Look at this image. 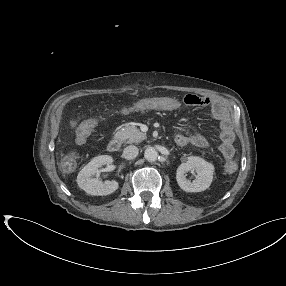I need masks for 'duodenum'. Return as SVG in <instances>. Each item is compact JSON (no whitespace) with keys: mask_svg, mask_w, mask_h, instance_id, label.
<instances>
[{"mask_svg":"<svg viewBox=\"0 0 286 286\" xmlns=\"http://www.w3.org/2000/svg\"><path fill=\"white\" fill-rule=\"evenodd\" d=\"M122 141L118 137L112 138L108 143V150L112 153L118 152L121 148Z\"/></svg>","mask_w":286,"mask_h":286,"instance_id":"duodenum-1","label":"duodenum"}]
</instances>
